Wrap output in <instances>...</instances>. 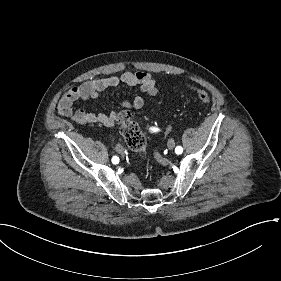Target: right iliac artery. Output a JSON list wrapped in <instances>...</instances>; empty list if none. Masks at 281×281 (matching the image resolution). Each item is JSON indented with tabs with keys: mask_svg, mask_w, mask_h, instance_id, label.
Instances as JSON below:
<instances>
[{
	"mask_svg": "<svg viewBox=\"0 0 281 281\" xmlns=\"http://www.w3.org/2000/svg\"><path fill=\"white\" fill-rule=\"evenodd\" d=\"M112 162H113L114 164H117V163L119 162V158H118L117 156H114V157L112 158Z\"/></svg>",
	"mask_w": 281,
	"mask_h": 281,
	"instance_id": "82829eb1",
	"label": "right iliac artery"
}]
</instances>
